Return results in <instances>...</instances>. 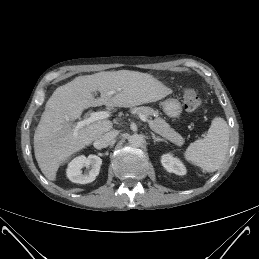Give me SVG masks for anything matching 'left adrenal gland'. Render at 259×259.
<instances>
[{
	"instance_id": "left-adrenal-gland-1",
	"label": "left adrenal gland",
	"mask_w": 259,
	"mask_h": 259,
	"mask_svg": "<svg viewBox=\"0 0 259 259\" xmlns=\"http://www.w3.org/2000/svg\"><path fill=\"white\" fill-rule=\"evenodd\" d=\"M152 139L154 141V143L156 142H166L164 139L157 137L155 134H152Z\"/></svg>"
}]
</instances>
